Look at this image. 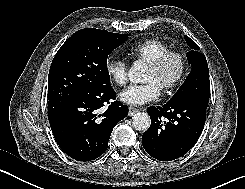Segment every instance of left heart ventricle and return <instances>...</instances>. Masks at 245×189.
Wrapping results in <instances>:
<instances>
[{
	"label": "left heart ventricle",
	"mask_w": 245,
	"mask_h": 189,
	"mask_svg": "<svg viewBox=\"0 0 245 189\" xmlns=\"http://www.w3.org/2000/svg\"><path fill=\"white\" fill-rule=\"evenodd\" d=\"M179 63L176 60H171L167 65L158 73L153 72L149 67L146 68L144 74V81L155 82L160 89L163 88L165 84L172 81L179 72Z\"/></svg>",
	"instance_id": "b2bd125f"
}]
</instances>
